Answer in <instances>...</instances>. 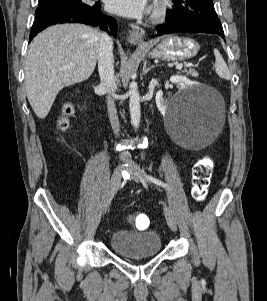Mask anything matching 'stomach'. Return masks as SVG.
Instances as JSON below:
<instances>
[{
	"label": "stomach",
	"instance_id": "obj_1",
	"mask_svg": "<svg viewBox=\"0 0 267 301\" xmlns=\"http://www.w3.org/2000/svg\"><path fill=\"white\" fill-rule=\"evenodd\" d=\"M199 49L200 45L193 39L169 36L160 41L148 55L167 61H184L194 57Z\"/></svg>",
	"mask_w": 267,
	"mask_h": 301
}]
</instances>
